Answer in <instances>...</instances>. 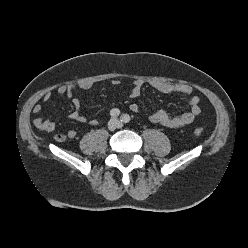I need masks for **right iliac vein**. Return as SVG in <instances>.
Masks as SVG:
<instances>
[{"label":"right iliac vein","mask_w":248,"mask_h":248,"mask_svg":"<svg viewBox=\"0 0 248 248\" xmlns=\"http://www.w3.org/2000/svg\"><path fill=\"white\" fill-rule=\"evenodd\" d=\"M115 126H116V122L113 120L108 123V128L110 130H113L115 128Z\"/></svg>","instance_id":"obj_1"}]
</instances>
